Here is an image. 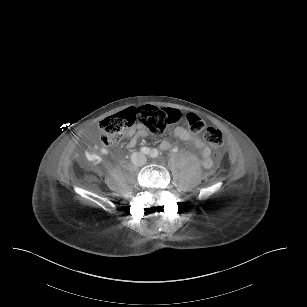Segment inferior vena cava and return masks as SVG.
Segmentation results:
<instances>
[{
    "label": "inferior vena cava",
    "instance_id": "1",
    "mask_svg": "<svg viewBox=\"0 0 307 307\" xmlns=\"http://www.w3.org/2000/svg\"><path fill=\"white\" fill-rule=\"evenodd\" d=\"M132 162H133L135 165H143V164L145 163V161H143V162H140L139 160L134 161V159H132Z\"/></svg>",
    "mask_w": 307,
    "mask_h": 307
}]
</instances>
